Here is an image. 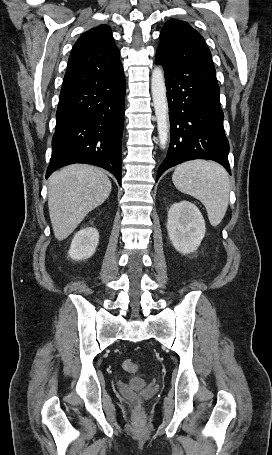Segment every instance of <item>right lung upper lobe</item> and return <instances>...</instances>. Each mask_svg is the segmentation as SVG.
Here are the masks:
<instances>
[{
	"label": "right lung upper lobe",
	"instance_id": "right-lung-upper-lobe-1",
	"mask_svg": "<svg viewBox=\"0 0 272 455\" xmlns=\"http://www.w3.org/2000/svg\"><path fill=\"white\" fill-rule=\"evenodd\" d=\"M119 56L108 25L83 33L72 48L61 93L122 74Z\"/></svg>",
	"mask_w": 272,
	"mask_h": 455
}]
</instances>
